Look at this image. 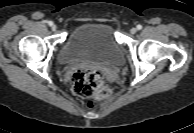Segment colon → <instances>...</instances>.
<instances>
[{"instance_id":"1","label":"colon","mask_w":194,"mask_h":133,"mask_svg":"<svg viewBox=\"0 0 194 133\" xmlns=\"http://www.w3.org/2000/svg\"><path fill=\"white\" fill-rule=\"evenodd\" d=\"M72 89L76 95L93 100L106 99L111 95V90L105 85L100 71L83 68L74 72Z\"/></svg>"}]
</instances>
